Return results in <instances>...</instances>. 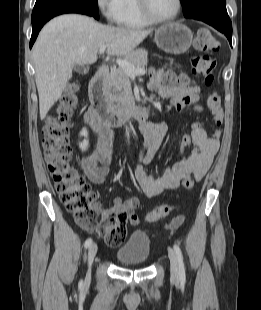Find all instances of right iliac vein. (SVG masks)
<instances>
[{"instance_id":"obj_1","label":"right iliac vein","mask_w":261,"mask_h":310,"mask_svg":"<svg viewBox=\"0 0 261 310\" xmlns=\"http://www.w3.org/2000/svg\"><path fill=\"white\" fill-rule=\"evenodd\" d=\"M96 253H97V244L96 243H93L91 244V246L89 247V250H88V272H87V275H86V281L89 280L90 278V267L94 261V258L96 256Z\"/></svg>"}]
</instances>
